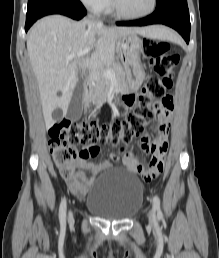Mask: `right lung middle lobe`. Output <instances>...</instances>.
I'll use <instances>...</instances> for the list:
<instances>
[{
  "instance_id": "right-lung-middle-lobe-1",
  "label": "right lung middle lobe",
  "mask_w": 219,
  "mask_h": 258,
  "mask_svg": "<svg viewBox=\"0 0 219 258\" xmlns=\"http://www.w3.org/2000/svg\"><path fill=\"white\" fill-rule=\"evenodd\" d=\"M49 0H28V9L27 12L32 11L36 7L40 6L41 4L47 2Z\"/></svg>"
}]
</instances>
